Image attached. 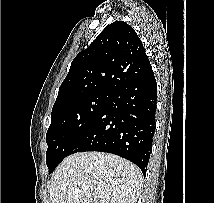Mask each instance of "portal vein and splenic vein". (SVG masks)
Listing matches in <instances>:
<instances>
[{
	"label": "portal vein and splenic vein",
	"instance_id": "portal-vein-and-splenic-vein-1",
	"mask_svg": "<svg viewBox=\"0 0 214 203\" xmlns=\"http://www.w3.org/2000/svg\"><path fill=\"white\" fill-rule=\"evenodd\" d=\"M72 193L78 195L80 193V190L79 189H75V190L72 191Z\"/></svg>",
	"mask_w": 214,
	"mask_h": 203
}]
</instances>
